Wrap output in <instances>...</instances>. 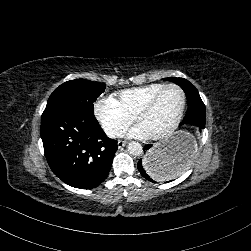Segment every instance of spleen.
<instances>
[{"label":"spleen","instance_id":"obj_1","mask_svg":"<svg viewBox=\"0 0 251 251\" xmlns=\"http://www.w3.org/2000/svg\"><path fill=\"white\" fill-rule=\"evenodd\" d=\"M187 161H188V159L186 158L184 161H183V165H187ZM176 170H173L172 172H166V173H163V174H161V173H159V172H156V174H157V177H156V179L157 180H159V181H165V180H167L169 177V175L171 174V173H173V174H171V175H176Z\"/></svg>","mask_w":251,"mask_h":251}]
</instances>
